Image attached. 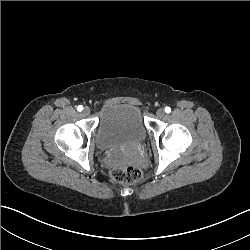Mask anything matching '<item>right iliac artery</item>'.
Segmentation results:
<instances>
[{
	"label": "right iliac artery",
	"mask_w": 250,
	"mask_h": 250,
	"mask_svg": "<svg viewBox=\"0 0 250 250\" xmlns=\"http://www.w3.org/2000/svg\"><path fill=\"white\" fill-rule=\"evenodd\" d=\"M77 110H78L79 112H81V111L83 110V106H82V105H79V106L77 107Z\"/></svg>",
	"instance_id": "right-iliac-artery-1"
}]
</instances>
